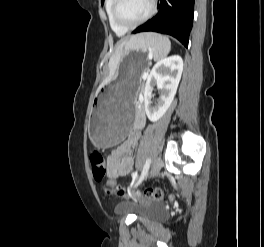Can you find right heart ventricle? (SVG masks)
Returning a JSON list of instances; mask_svg holds the SVG:
<instances>
[{"instance_id":"obj_1","label":"right heart ventricle","mask_w":264,"mask_h":247,"mask_svg":"<svg viewBox=\"0 0 264 247\" xmlns=\"http://www.w3.org/2000/svg\"><path fill=\"white\" fill-rule=\"evenodd\" d=\"M114 0H105V11L111 29L118 35H124L128 30L116 24L112 14Z\"/></svg>"}]
</instances>
